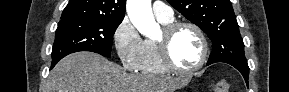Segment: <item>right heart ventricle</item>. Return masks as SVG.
Listing matches in <instances>:
<instances>
[{"instance_id": "obj_1", "label": "right heart ventricle", "mask_w": 289, "mask_h": 92, "mask_svg": "<svg viewBox=\"0 0 289 92\" xmlns=\"http://www.w3.org/2000/svg\"><path fill=\"white\" fill-rule=\"evenodd\" d=\"M158 21L166 25L173 22V18L169 20L158 19ZM138 70L145 74H164L168 72L160 60L155 40H144V56Z\"/></svg>"}]
</instances>
